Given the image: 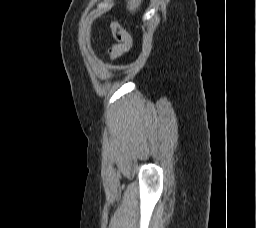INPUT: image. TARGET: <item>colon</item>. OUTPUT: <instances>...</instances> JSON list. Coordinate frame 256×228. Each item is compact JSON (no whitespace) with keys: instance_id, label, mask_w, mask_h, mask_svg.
Instances as JSON below:
<instances>
[{"instance_id":"1","label":"colon","mask_w":256,"mask_h":228,"mask_svg":"<svg viewBox=\"0 0 256 228\" xmlns=\"http://www.w3.org/2000/svg\"><path fill=\"white\" fill-rule=\"evenodd\" d=\"M111 31L117 44H115L110 51V59L116 60L121 55L132 48L133 41L131 35L123 28L118 21L111 23Z\"/></svg>"}]
</instances>
